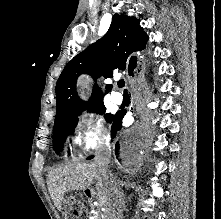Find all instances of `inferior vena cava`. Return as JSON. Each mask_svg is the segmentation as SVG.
<instances>
[{"mask_svg": "<svg viewBox=\"0 0 221 219\" xmlns=\"http://www.w3.org/2000/svg\"><path fill=\"white\" fill-rule=\"evenodd\" d=\"M111 158V146L109 142L104 140L98 146L97 152L94 158V164L97 167L98 173L102 177H107L111 180L110 191H114V198L111 206L105 213L106 219H122V211L125 205V198L123 192L120 190V180H118V175H112L108 169V164Z\"/></svg>", "mask_w": 221, "mask_h": 219, "instance_id": "inferior-vena-cava-1", "label": "inferior vena cava"}]
</instances>
